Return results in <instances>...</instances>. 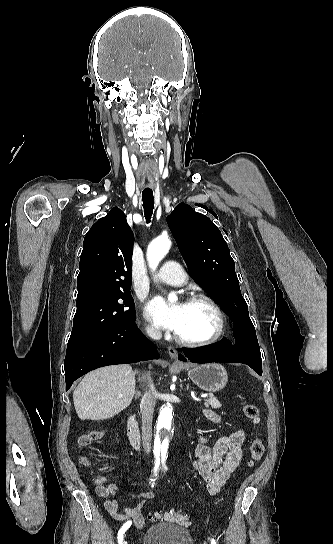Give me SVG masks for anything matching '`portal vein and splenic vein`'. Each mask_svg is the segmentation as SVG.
Returning a JSON list of instances; mask_svg holds the SVG:
<instances>
[{"instance_id": "18ae733b", "label": "portal vein and splenic vein", "mask_w": 333, "mask_h": 544, "mask_svg": "<svg viewBox=\"0 0 333 544\" xmlns=\"http://www.w3.org/2000/svg\"><path fill=\"white\" fill-rule=\"evenodd\" d=\"M207 396V394H201V398H206ZM119 397H122V395L120 394Z\"/></svg>"}]
</instances>
